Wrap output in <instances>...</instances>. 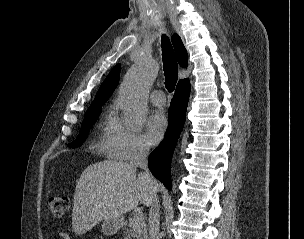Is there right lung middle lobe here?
I'll use <instances>...</instances> for the list:
<instances>
[{
	"label": "right lung middle lobe",
	"mask_w": 304,
	"mask_h": 239,
	"mask_svg": "<svg viewBox=\"0 0 304 239\" xmlns=\"http://www.w3.org/2000/svg\"><path fill=\"white\" fill-rule=\"evenodd\" d=\"M101 112V107L97 108H89L85 113V119L83 121V124L81 126L80 133L75 141L70 143L68 146L71 148L79 147L83 144V142L86 140L88 136L89 129L92 127V125L95 123L98 115Z\"/></svg>",
	"instance_id": "1"
}]
</instances>
